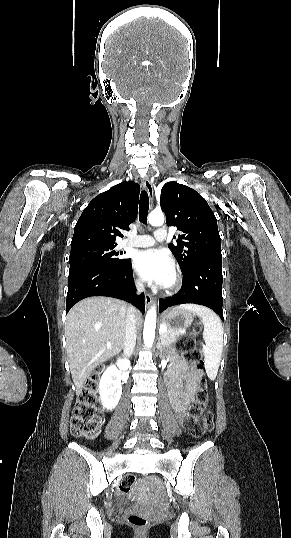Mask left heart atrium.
<instances>
[{
  "instance_id": "left-heart-atrium-1",
  "label": "left heart atrium",
  "mask_w": 291,
  "mask_h": 538,
  "mask_svg": "<svg viewBox=\"0 0 291 538\" xmlns=\"http://www.w3.org/2000/svg\"><path fill=\"white\" fill-rule=\"evenodd\" d=\"M133 266L142 280L159 286L166 285L174 271L169 256L156 249L137 252L133 259Z\"/></svg>"
}]
</instances>
